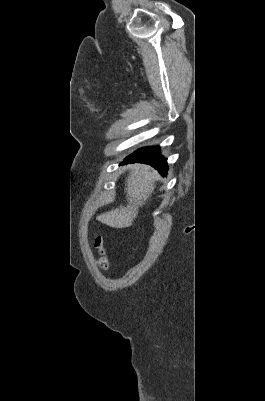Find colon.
I'll return each instance as SVG.
<instances>
[{"label":"colon","mask_w":265,"mask_h":401,"mask_svg":"<svg viewBox=\"0 0 265 401\" xmlns=\"http://www.w3.org/2000/svg\"><path fill=\"white\" fill-rule=\"evenodd\" d=\"M94 247L99 251V253L101 254V258H100V261H101V264H102V267H107V261H106V259L103 257V251H104V248H103V239H102V237L101 236H96V238H95V240H94Z\"/></svg>","instance_id":"obj_1"}]
</instances>
